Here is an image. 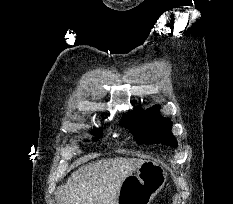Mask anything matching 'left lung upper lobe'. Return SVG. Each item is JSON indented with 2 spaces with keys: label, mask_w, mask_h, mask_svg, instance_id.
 <instances>
[{
  "label": "left lung upper lobe",
  "mask_w": 233,
  "mask_h": 204,
  "mask_svg": "<svg viewBox=\"0 0 233 204\" xmlns=\"http://www.w3.org/2000/svg\"><path fill=\"white\" fill-rule=\"evenodd\" d=\"M159 109L158 105L146 111L138 108L124 117L122 124L129 128L139 144L162 143L176 147V139L171 133L172 123L160 116Z\"/></svg>",
  "instance_id": "5c2ea615"
}]
</instances>
